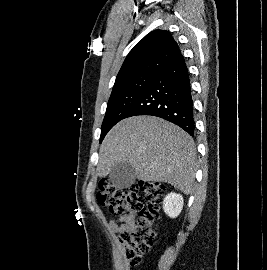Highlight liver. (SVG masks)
<instances>
[{
  "label": "liver",
  "mask_w": 267,
  "mask_h": 270,
  "mask_svg": "<svg viewBox=\"0 0 267 270\" xmlns=\"http://www.w3.org/2000/svg\"><path fill=\"white\" fill-rule=\"evenodd\" d=\"M196 148L178 126L155 116L120 121L99 150L97 174L105 177L117 163H130L139 180L165 182L188 195L195 179Z\"/></svg>",
  "instance_id": "6515ba94"
}]
</instances>
